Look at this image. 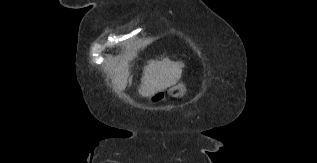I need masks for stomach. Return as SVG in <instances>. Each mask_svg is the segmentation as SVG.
<instances>
[{
    "mask_svg": "<svg viewBox=\"0 0 317 163\" xmlns=\"http://www.w3.org/2000/svg\"><path fill=\"white\" fill-rule=\"evenodd\" d=\"M186 92V88L183 84L173 86L168 90L169 95L173 97H182ZM163 99V93L158 92L155 95L149 97V101L152 103L160 102Z\"/></svg>",
    "mask_w": 317,
    "mask_h": 163,
    "instance_id": "stomach-1",
    "label": "stomach"
}]
</instances>
